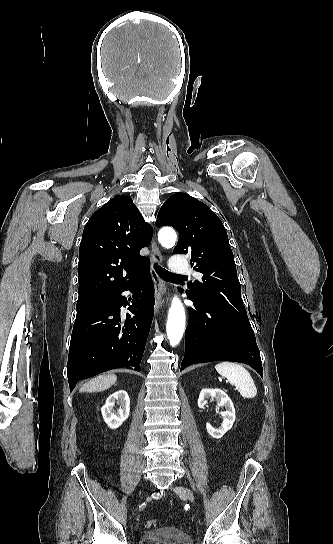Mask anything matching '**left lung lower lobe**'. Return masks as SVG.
I'll return each mask as SVG.
<instances>
[{"instance_id":"obj_1","label":"left lung lower lobe","mask_w":333,"mask_h":544,"mask_svg":"<svg viewBox=\"0 0 333 544\" xmlns=\"http://www.w3.org/2000/svg\"><path fill=\"white\" fill-rule=\"evenodd\" d=\"M183 292L184 290L181 289ZM193 301L185 331L181 370L194 363L235 361L250 365L263 377L260 352L251 325L216 310L187 293Z\"/></svg>"}]
</instances>
